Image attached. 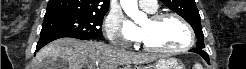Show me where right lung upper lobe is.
I'll list each match as a JSON object with an SVG mask.
<instances>
[{
    "mask_svg": "<svg viewBox=\"0 0 246 69\" xmlns=\"http://www.w3.org/2000/svg\"><path fill=\"white\" fill-rule=\"evenodd\" d=\"M109 0H49L44 17L57 15H105Z\"/></svg>",
    "mask_w": 246,
    "mask_h": 69,
    "instance_id": "1",
    "label": "right lung upper lobe"
}]
</instances>
